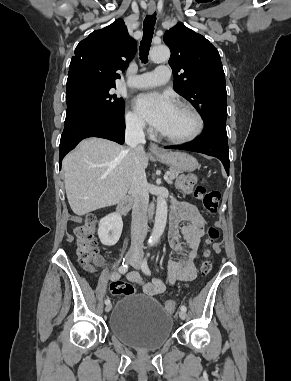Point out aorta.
Listing matches in <instances>:
<instances>
[{
	"instance_id": "762f6f07",
	"label": "aorta",
	"mask_w": 291,
	"mask_h": 381,
	"mask_svg": "<svg viewBox=\"0 0 291 381\" xmlns=\"http://www.w3.org/2000/svg\"><path fill=\"white\" fill-rule=\"evenodd\" d=\"M151 61L155 63L167 61L170 57V50L167 46L160 45L155 46L150 50L149 53ZM167 202L164 198H157V206H156V216L155 223L152 231V235L150 236L149 243L150 245H154L160 236L163 234L167 221Z\"/></svg>"
}]
</instances>
